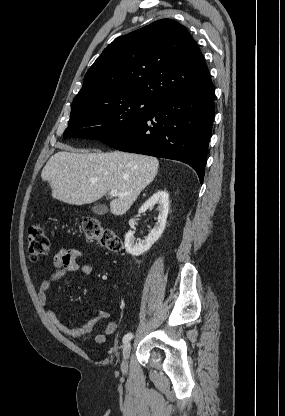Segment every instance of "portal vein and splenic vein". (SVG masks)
Here are the masks:
<instances>
[{"instance_id": "obj_1", "label": "portal vein and splenic vein", "mask_w": 285, "mask_h": 416, "mask_svg": "<svg viewBox=\"0 0 285 416\" xmlns=\"http://www.w3.org/2000/svg\"><path fill=\"white\" fill-rule=\"evenodd\" d=\"M110 196H127V194H118V190H111Z\"/></svg>"}]
</instances>
